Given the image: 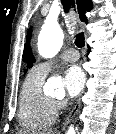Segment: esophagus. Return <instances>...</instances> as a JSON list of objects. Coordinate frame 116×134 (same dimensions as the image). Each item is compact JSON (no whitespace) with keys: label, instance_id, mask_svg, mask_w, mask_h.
<instances>
[{"label":"esophagus","instance_id":"esophagus-1","mask_svg":"<svg viewBox=\"0 0 116 134\" xmlns=\"http://www.w3.org/2000/svg\"><path fill=\"white\" fill-rule=\"evenodd\" d=\"M80 99L77 101L76 105L74 106V108L71 110L70 114L68 115V117L66 118L64 125H67L70 120L77 114L79 108H80Z\"/></svg>","mask_w":116,"mask_h":134}]
</instances>
